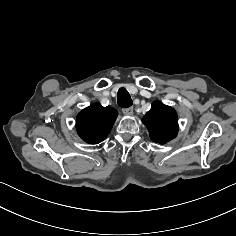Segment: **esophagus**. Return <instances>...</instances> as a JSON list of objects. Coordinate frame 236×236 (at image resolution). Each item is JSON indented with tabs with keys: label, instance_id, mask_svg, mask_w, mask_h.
<instances>
[{
	"label": "esophagus",
	"instance_id": "34e87169",
	"mask_svg": "<svg viewBox=\"0 0 236 236\" xmlns=\"http://www.w3.org/2000/svg\"><path fill=\"white\" fill-rule=\"evenodd\" d=\"M122 112H123L125 115H132V114H133V108H132V107L124 108V109L122 110Z\"/></svg>",
	"mask_w": 236,
	"mask_h": 236
}]
</instances>
